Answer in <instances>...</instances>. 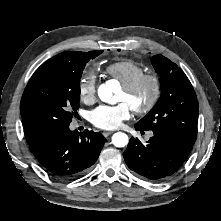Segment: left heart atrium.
I'll list each match as a JSON object with an SVG mask.
<instances>
[{
    "label": "left heart atrium",
    "instance_id": "39dd6f15",
    "mask_svg": "<svg viewBox=\"0 0 221 221\" xmlns=\"http://www.w3.org/2000/svg\"><path fill=\"white\" fill-rule=\"evenodd\" d=\"M131 106L127 102L117 105H100L90 114L91 122L100 129L112 130L121 126L131 116Z\"/></svg>",
    "mask_w": 221,
    "mask_h": 221
}]
</instances>
